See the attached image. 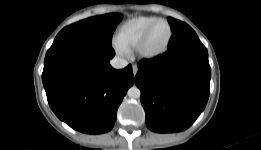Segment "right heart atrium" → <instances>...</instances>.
Segmentation results:
<instances>
[{"mask_svg": "<svg viewBox=\"0 0 261 150\" xmlns=\"http://www.w3.org/2000/svg\"><path fill=\"white\" fill-rule=\"evenodd\" d=\"M116 49H117V51H118L119 53H121V54L126 53V51H125L123 48H121L120 46H118V45H116Z\"/></svg>", "mask_w": 261, "mask_h": 150, "instance_id": "d8ad5b80", "label": "right heart atrium"}]
</instances>
